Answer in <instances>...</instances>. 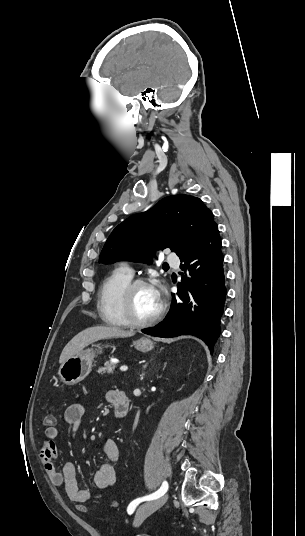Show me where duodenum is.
I'll use <instances>...</instances> for the list:
<instances>
[{"instance_id": "duodenum-1", "label": "duodenum", "mask_w": 305, "mask_h": 536, "mask_svg": "<svg viewBox=\"0 0 305 536\" xmlns=\"http://www.w3.org/2000/svg\"><path fill=\"white\" fill-rule=\"evenodd\" d=\"M112 402L117 416L123 417L128 413L129 400L123 391H115Z\"/></svg>"}]
</instances>
